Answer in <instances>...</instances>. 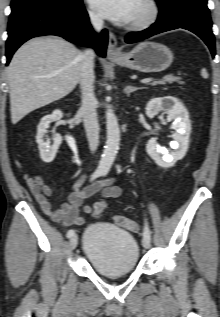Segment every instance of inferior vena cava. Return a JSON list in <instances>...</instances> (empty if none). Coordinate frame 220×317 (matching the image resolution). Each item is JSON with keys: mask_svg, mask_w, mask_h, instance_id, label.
I'll return each mask as SVG.
<instances>
[{"mask_svg": "<svg viewBox=\"0 0 220 317\" xmlns=\"http://www.w3.org/2000/svg\"><path fill=\"white\" fill-rule=\"evenodd\" d=\"M90 21L95 31L100 32L103 27V19L98 15L91 14ZM94 50L86 49L82 57V68L79 77L80 88L82 92L81 112L84 119V127L92 152L97 149L99 144V125L97 119V100L94 95Z\"/></svg>", "mask_w": 220, "mask_h": 317, "instance_id": "602c4592", "label": "inferior vena cava"}]
</instances>
